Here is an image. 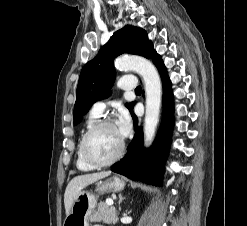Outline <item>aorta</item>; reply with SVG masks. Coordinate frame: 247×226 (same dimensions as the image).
<instances>
[{"mask_svg":"<svg viewBox=\"0 0 247 226\" xmlns=\"http://www.w3.org/2000/svg\"><path fill=\"white\" fill-rule=\"evenodd\" d=\"M115 67L120 70L136 71L145 85V120L144 141L148 146L154 139L159 121L162 85L159 74L154 65L140 56H121L116 59Z\"/></svg>","mask_w":247,"mask_h":226,"instance_id":"1","label":"aorta"}]
</instances>
